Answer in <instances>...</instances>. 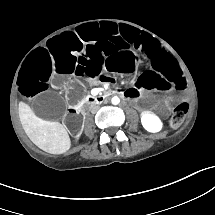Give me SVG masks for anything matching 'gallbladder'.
Listing matches in <instances>:
<instances>
[{
  "instance_id": "gallbladder-1",
  "label": "gallbladder",
  "mask_w": 215,
  "mask_h": 215,
  "mask_svg": "<svg viewBox=\"0 0 215 215\" xmlns=\"http://www.w3.org/2000/svg\"><path fill=\"white\" fill-rule=\"evenodd\" d=\"M32 106L34 115L42 119L57 121L63 115L66 102L64 98L53 93H41L34 98Z\"/></svg>"
}]
</instances>
